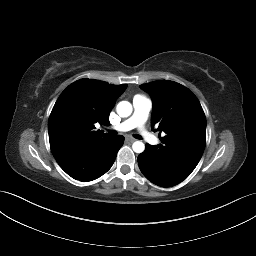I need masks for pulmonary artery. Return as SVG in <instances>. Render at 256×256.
Returning a JSON list of instances; mask_svg holds the SVG:
<instances>
[{
	"mask_svg": "<svg viewBox=\"0 0 256 256\" xmlns=\"http://www.w3.org/2000/svg\"><path fill=\"white\" fill-rule=\"evenodd\" d=\"M151 109L152 102L150 99L143 96H135L133 99V114L128 119L114 126V129L120 132H127L137 128L146 142L152 145L158 144V138L145 128V123Z\"/></svg>",
	"mask_w": 256,
	"mask_h": 256,
	"instance_id": "1",
	"label": "pulmonary artery"
}]
</instances>
